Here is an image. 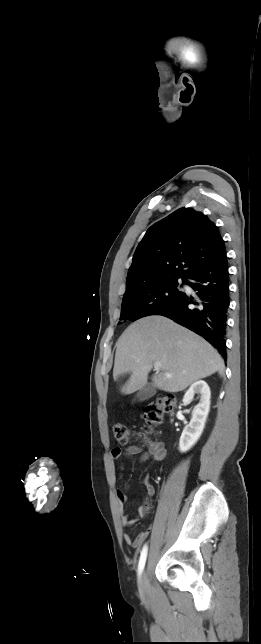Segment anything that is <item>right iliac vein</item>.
Listing matches in <instances>:
<instances>
[{"instance_id": "right-iliac-vein-1", "label": "right iliac vein", "mask_w": 261, "mask_h": 644, "mask_svg": "<svg viewBox=\"0 0 261 644\" xmlns=\"http://www.w3.org/2000/svg\"><path fill=\"white\" fill-rule=\"evenodd\" d=\"M139 592L143 598L149 596V583L147 578V573L144 571L139 579Z\"/></svg>"}]
</instances>
